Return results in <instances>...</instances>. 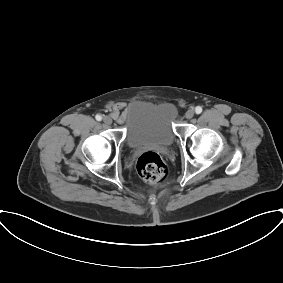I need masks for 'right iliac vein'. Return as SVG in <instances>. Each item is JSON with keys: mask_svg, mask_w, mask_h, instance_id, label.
I'll list each match as a JSON object with an SVG mask.
<instances>
[{"mask_svg": "<svg viewBox=\"0 0 283 283\" xmlns=\"http://www.w3.org/2000/svg\"><path fill=\"white\" fill-rule=\"evenodd\" d=\"M103 122H104V124H106V125H110V124H112V118L109 117V116H104V117H103Z\"/></svg>", "mask_w": 283, "mask_h": 283, "instance_id": "63e3f726", "label": "right iliac vein"}]
</instances>
